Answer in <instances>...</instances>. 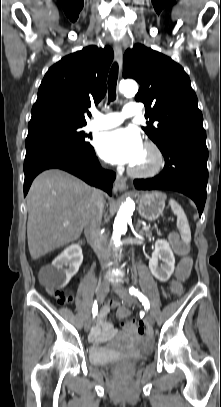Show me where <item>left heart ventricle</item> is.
I'll use <instances>...</instances> for the list:
<instances>
[{
	"instance_id": "obj_1",
	"label": "left heart ventricle",
	"mask_w": 221,
	"mask_h": 407,
	"mask_svg": "<svg viewBox=\"0 0 221 407\" xmlns=\"http://www.w3.org/2000/svg\"><path fill=\"white\" fill-rule=\"evenodd\" d=\"M154 162L155 158L152 152L147 148L143 147L140 156L132 166L139 170H145L151 168L154 165Z\"/></svg>"
}]
</instances>
